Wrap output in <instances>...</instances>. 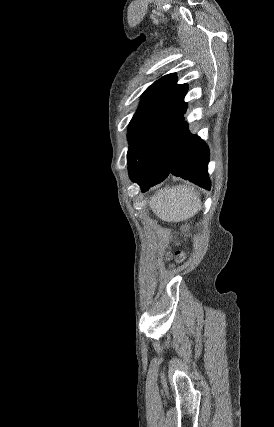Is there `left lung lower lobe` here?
Returning <instances> with one entry per match:
<instances>
[{
	"mask_svg": "<svg viewBox=\"0 0 274 427\" xmlns=\"http://www.w3.org/2000/svg\"><path fill=\"white\" fill-rule=\"evenodd\" d=\"M185 94L186 90L152 125L141 142L129 175L141 186L142 192L162 182L170 173L210 189L209 149L182 121L187 107L183 102Z\"/></svg>",
	"mask_w": 274,
	"mask_h": 427,
	"instance_id": "1",
	"label": "left lung lower lobe"
}]
</instances>
